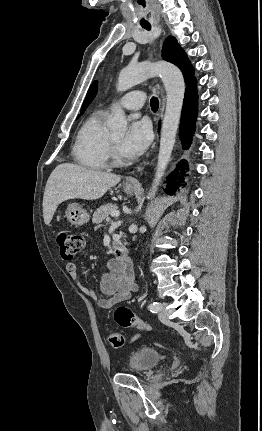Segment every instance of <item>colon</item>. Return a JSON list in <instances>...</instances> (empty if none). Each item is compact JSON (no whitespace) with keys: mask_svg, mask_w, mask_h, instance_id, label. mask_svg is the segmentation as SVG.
Wrapping results in <instances>:
<instances>
[{"mask_svg":"<svg viewBox=\"0 0 262 431\" xmlns=\"http://www.w3.org/2000/svg\"><path fill=\"white\" fill-rule=\"evenodd\" d=\"M57 244L62 259L70 262L83 250L85 239L79 233L62 230L57 234ZM114 319L122 327L137 328L145 332L152 331L149 323L140 319L126 306H120L115 310ZM108 340L114 348H120L125 343L123 336L117 332H110Z\"/></svg>","mask_w":262,"mask_h":431,"instance_id":"1","label":"colon"}]
</instances>
